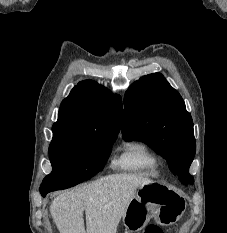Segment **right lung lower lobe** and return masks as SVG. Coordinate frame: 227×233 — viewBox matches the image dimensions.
<instances>
[{
	"label": "right lung lower lobe",
	"instance_id": "obj_1",
	"mask_svg": "<svg viewBox=\"0 0 227 233\" xmlns=\"http://www.w3.org/2000/svg\"><path fill=\"white\" fill-rule=\"evenodd\" d=\"M40 193H41V195H42L43 197H45L46 194L49 193V192H40Z\"/></svg>",
	"mask_w": 227,
	"mask_h": 233
}]
</instances>
